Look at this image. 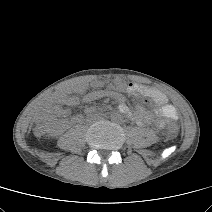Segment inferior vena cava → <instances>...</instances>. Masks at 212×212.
<instances>
[{"label": "inferior vena cava", "instance_id": "602c4592", "mask_svg": "<svg viewBox=\"0 0 212 212\" xmlns=\"http://www.w3.org/2000/svg\"><path fill=\"white\" fill-rule=\"evenodd\" d=\"M90 120H91L92 122L98 123V122L100 121V118H99L98 114L93 113V114H91V116H90Z\"/></svg>", "mask_w": 212, "mask_h": 212}]
</instances>
